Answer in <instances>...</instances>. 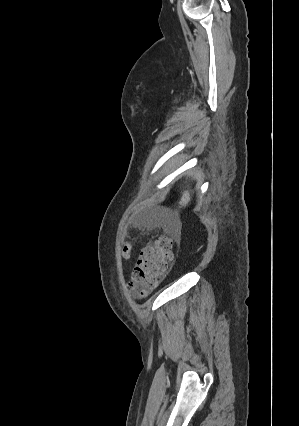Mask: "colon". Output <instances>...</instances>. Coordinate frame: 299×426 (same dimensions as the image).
Masks as SVG:
<instances>
[{"label": "colon", "instance_id": "obj_1", "mask_svg": "<svg viewBox=\"0 0 299 426\" xmlns=\"http://www.w3.org/2000/svg\"><path fill=\"white\" fill-rule=\"evenodd\" d=\"M130 255V246L125 247L124 256ZM173 257V242L169 237H160L145 247L139 257L129 283L130 290L138 297L148 295L157 287L167 264Z\"/></svg>", "mask_w": 299, "mask_h": 426}]
</instances>
